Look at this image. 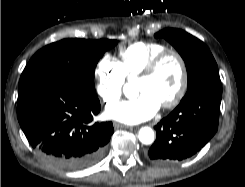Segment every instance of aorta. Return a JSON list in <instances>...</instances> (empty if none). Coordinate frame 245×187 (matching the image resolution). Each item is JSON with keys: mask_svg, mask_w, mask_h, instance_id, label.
Returning a JSON list of instances; mask_svg holds the SVG:
<instances>
[{"mask_svg": "<svg viewBox=\"0 0 245 187\" xmlns=\"http://www.w3.org/2000/svg\"><path fill=\"white\" fill-rule=\"evenodd\" d=\"M124 94L129 99H134L137 96V89L133 83H128L123 88ZM139 140L143 144H151L154 141V131L150 127H142L139 130Z\"/></svg>", "mask_w": 245, "mask_h": 187, "instance_id": "aorta-1", "label": "aorta"}]
</instances>
